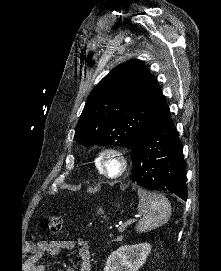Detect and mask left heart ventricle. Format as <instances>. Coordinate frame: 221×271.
Wrapping results in <instances>:
<instances>
[{
	"mask_svg": "<svg viewBox=\"0 0 221 271\" xmlns=\"http://www.w3.org/2000/svg\"><path fill=\"white\" fill-rule=\"evenodd\" d=\"M107 169H109L107 172V177H119V172H117L116 170V169H120L119 166L108 165Z\"/></svg>",
	"mask_w": 221,
	"mask_h": 271,
	"instance_id": "b2bd125f",
	"label": "left heart ventricle"
}]
</instances>
